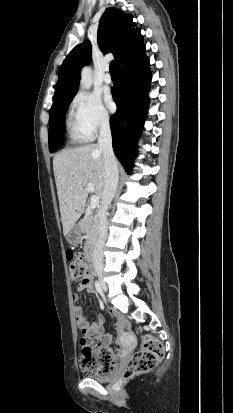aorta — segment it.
I'll list each match as a JSON object with an SVG mask.
<instances>
[{
	"instance_id": "aorta-1",
	"label": "aorta",
	"mask_w": 233,
	"mask_h": 413,
	"mask_svg": "<svg viewBox=\"0 0 233 413\" xmlns=\"http://www.w3.org/2000/svg\"><path fill=\"white\" fill-rule=\"evenodd\" d=\"M80 85L82 88L89 90L92 86V71L90 67H84L81 71Z\"/></svg>"
}]
</instances>
